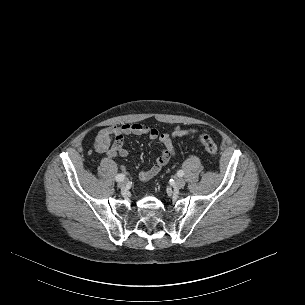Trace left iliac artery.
Here are the masks:
<instances>
[{"mask_svg": "<svg viewBox=\"0 0 305 305\" xmlns=\"http://www.w3.org/2000/svg\"><path fill=\"white\" fill-rule=\"evenodd\" d=\"M177 175H178V177H182V176L184 175L183 170H179V171L177 172Z\"/></svg>", "mask_w": 305, "mask_h": 305, "instance_id": "obj_1", "label": "left iliac artery"}]
</instances>
